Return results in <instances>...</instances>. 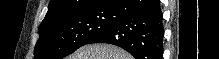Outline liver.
<instances>
[{"label": "liver", "mask_w": 219, "mask_h": 59, "mask_svg": "<svg viewBox=\"0 0 219 59\" xmlns=\"http://www.w3.org/2000/svg\"><path fill=\"white\" fill-rule=\"evenodd\" d=\"M66 59H132L126 51L112 45H85Z\"/></svg>", "instance_id": "obj_1"}]
</instances>
